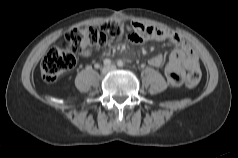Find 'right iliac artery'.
Segmentation results:
<instances>
[{
  "label": "right iliac artery",
  "mask_w": 238,
  "mask_h": 158,
  "mask_svg": "<svg viewBox=\"0 0 238 158\" xmlns=\"http://www.w3.org/2000/svg\"><path fill=\"white\" fill-rule=\"evenodd\" d=\"M104 65L110 66V65H111V60L105 59V60H104Z\"/></svg>",
  "instance_id": "obj_1"
}]
</instances>
